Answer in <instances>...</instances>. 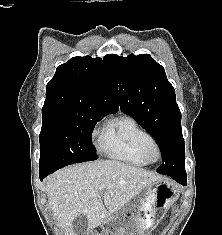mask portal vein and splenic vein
<instances>
[{
	"instance_id": "18ae733b",
	"label": "portal vein and splenic vein",
	"mask_w": 222,
	"mask_h": 235,
	"mask_svg": "<svg viewBox=\"0 0 222 235\" xmlns=\"http://www.w3.org/2000/svg\"><path fill=\"white\" fill-rule=\"evenodd\" d=\"M105 186H106L105 184H102V185H101V188H104Z\"/></svg>"
}]
</instances>
